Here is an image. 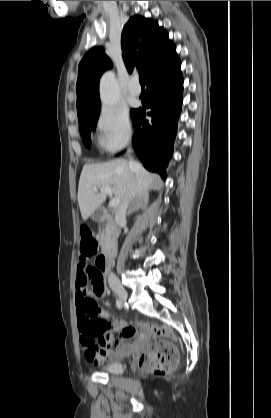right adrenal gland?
<instances>
[{
  "instance_id": "obj_1",
  "label": "right adrenal gland",
  "mask_w": 271,
  "mask_h": 418,
  "mask_svg": "<svg viewBox=\"0 0 271 418\" xmlns=\"http://www.w3.org/2000/svg\"><path fill=\"white\" fill-rule=\"evenodd\" d=\"M148 204V199L145 197H139L137 203L129 210L128 215L137 211L139 208L143 209L146 208Z\"/></svg>"
}]
</instances>
